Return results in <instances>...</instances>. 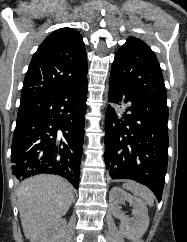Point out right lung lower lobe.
I'll list each match as a JSON object with an SVG mask.
<instances>
[{"label": "right lung lower lobe", "mask_w": 187, "mask_h": 242, "mask_svg": "<svg viewBox=\"0 0 187 242\" xmlns=\"http://www.w3.org/2000/svg\"><path fill=\"white\" fill-rule=\"evenodd\" d=\"M87 98V78L21 101L11 148L13 175L57 174L78 189Z\"/></svg>", "instance_id": "right-lung-lower-lobe-1"}]
</instances>
